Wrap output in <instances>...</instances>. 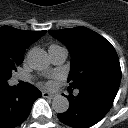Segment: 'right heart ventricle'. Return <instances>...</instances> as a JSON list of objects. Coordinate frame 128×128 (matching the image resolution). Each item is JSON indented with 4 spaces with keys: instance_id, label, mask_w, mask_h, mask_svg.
<instances>
[{
    "instance_id": "obj_1",
    "label": "right heart ventricle",
    "mask_w": 128,
    "mask_h": 128,
    "mask_svg": "<svg viewBox=\"0 0 128 128\" xmlns=\"http://www.w3.org/2000/svg\"><path fill=\"white\" fill-rule=\"evenodd\" d=\"M55 47H58L57 45H50L49 49H52V48H55Z\"/></svg>"
}]
</instances>
